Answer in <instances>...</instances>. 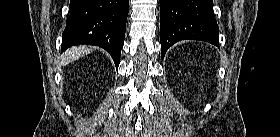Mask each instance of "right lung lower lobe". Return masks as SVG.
<instances>
[{
  "label": "right lung lower lobe",
  "mask_w": 280,
  "mask_h": 137,
  "mask_svg": "<svg viewBox=\"0 0 280 137\" xmlns=\"http://www.w3.org/2000/svg\"><path fill=\"white\" fill-rule=\"evenodd\" d=\"M61 51L96 45L110 53L116 68L124 44L129 0H71Z\"/></svg>",
  "instance_id": "obj_1"
}]
</instances>
